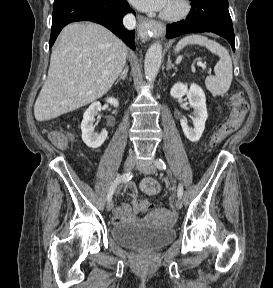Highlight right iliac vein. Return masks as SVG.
Here are the masks:
<instances>
[{"label":"right iliac vein","mask_w":273,"mask_h":288,"mask_svg":"<svg viewBox=\"0 0 273 288\" xmlns=\"http://www.w3.org/2000/svg\"><path fill=\"white\" fill-rule=\"evenodd\" d=\"M135 164H136V160L133 157H128L124 163V167H123L124 171L128 172L132 170ZM113 206H114V203L112 200H110L108 201L106 208L108 211H111L113 209Z\"/></svg>","instance_id":"1"}]
</instances>
